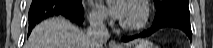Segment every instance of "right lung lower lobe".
<instances>
[{
	"label": "right lung lower lobe",
	"mask_w": 213,
	"mask_h": 48,
	"mask_svg": "<svg viewBox=\"0 0 213 48\" xmlns=\"http://www.w3.org/2000/svg\"><path fill=\"white\" fill-rule=\"evenodd\" d=\"M63 16L73 23L81 24L84 19V10L79 0H33L29 14L28 35L36 24L42 20L53 17Z\"/></svg>",
	"instance_id": "obj_1"
}]
</instances>
